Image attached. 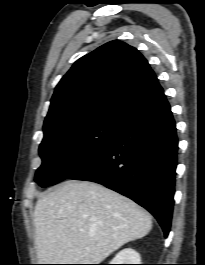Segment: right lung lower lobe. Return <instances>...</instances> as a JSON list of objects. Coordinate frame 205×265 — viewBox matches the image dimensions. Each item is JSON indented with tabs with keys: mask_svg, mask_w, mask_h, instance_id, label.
<instances>
[{
	"mask_svg": "<svg viewBox=\"0 0 205 265\" xmlns=\"http://www.w3.org/2000/svg\"><path fill=\"white\" fill-rule=\"evenodd\" d=\"M178 139L163 94L152 106L124 121L111 142L71 179L93 181L146 208L167 237L172 219Z\"/></svg>",
	"mask_w": 205,
	"mask_h": 265,
	"instance_id": "obj_1",
	"label": "right lung lower lobe"
}]
</instances>
